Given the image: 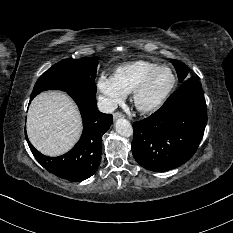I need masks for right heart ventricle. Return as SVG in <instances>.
<instances>
[{
    "label": "right heart ventricle",
    "mask_w": 233,
    "mask_h": 233,
    "mask_svg": "<svg viewBox=\"0 0 233 233\" xmlns=\"http://www.w3.org/2000/svg\"><path fill=\"white\" fill-rule=\"evenodd\" d=\"M159 65L150 61H134L117 67L114 78L126 92L132 93L141 81Z\"/></svg>",
    "instance_id": "right-heart-ventricle-1"
}]
</instances>
